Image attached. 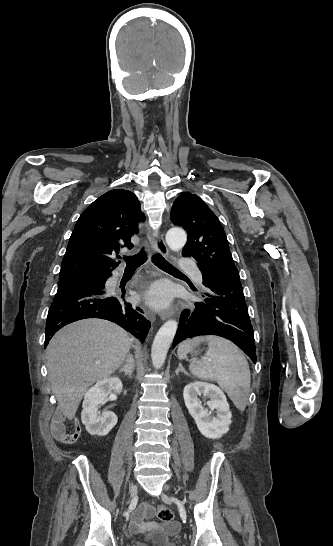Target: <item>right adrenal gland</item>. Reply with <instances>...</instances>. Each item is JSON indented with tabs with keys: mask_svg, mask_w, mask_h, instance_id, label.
Segmentation results:
<instances>
[{
	"mask_svg": "<svg viewBox=\"0 0 333 546\" xmlns=\"http://www.w3.org/2000/svg\"><path fill=\"white\" fill-rule=\"evenodd\" d=\"M133 371H134V360H133V356L129 354L126 359V364L119 369V372H124L125 376H128L130 378L132 376Z\"/></svg>",
	"mask_w": 333,
	"mask_h": 546,
	"instance_id": "2a0ac1e0",
	"label": "right adrenal gland"
}]
</instances>
